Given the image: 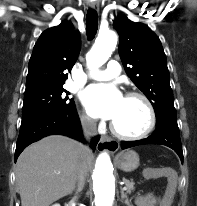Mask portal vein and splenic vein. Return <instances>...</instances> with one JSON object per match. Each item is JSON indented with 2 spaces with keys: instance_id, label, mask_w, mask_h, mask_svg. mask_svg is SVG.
Instances as JSON below:
<instances>
[{
  "instance_id": "obj_1",
  "label": "portal vein and splenic vein",
  "mask_w": 197,
  "mask_h": 206,
  "mask_svg": "<svg viewBox=\"0 0 197 206\" xmlns=\"http://www.w3.org/2000/svg\"><path fill=\"white\" fill-rule=\"evenodd\" d=\"M123 190H126V187H123Z\"/></svg>"
}]
</instances>
